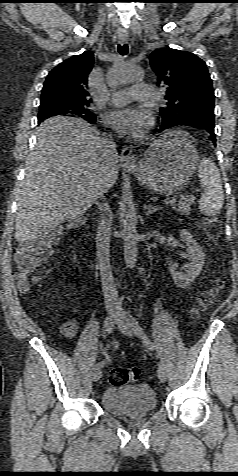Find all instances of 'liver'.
I'll use <instances>...</instances> for the list:
<instances>
[{
    "label": "liver",
    "instance_id": "obj_1",
    "mask_svg": "<svg viewBox=\"0 0 238 476\" xmlns=\"http://www.w3.org/2000/svg\"><path fill=\"white\" fill-rule=\"evenodd\" d=\"M99 135L81 118L57 116L40 124L18 192V242L82 216L95 202L107 165ZM108 174L111 188L118 178V162Z\"/></svg>",
    "mask_w": 238,
    "mask_h": 476
}]
</instances>
